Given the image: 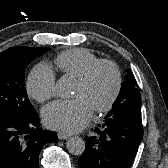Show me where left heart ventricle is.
<instances>
[{
  "instance_id": "obj_1",
  "label": "left heart ventricle",
  "mask_w": 168,
  "mask_h": 168,
  "mask_svg": "<svg viewBox=\"0 0 168 168\" xmlns=\"http://www.w3.org/2000/svg\"><path fill=\"white\" fill-rule=\"evenodd\" d=\"M114 75L109 67H100L87 85L78 81L75 84L73 96L83 97L92 108L104 103L113 89Z\"/></svg>"
}]
</instances>
